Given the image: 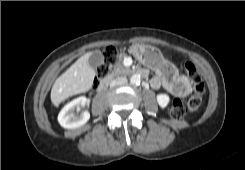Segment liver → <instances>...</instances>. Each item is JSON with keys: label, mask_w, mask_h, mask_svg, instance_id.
Here are the masks:
<instances>
[{"label": "liver", "mask_w": 245, "mask_h": 170, "mask_svg": "<svg viewBox=\"0 0 245 170\" xmlns=\"http://www.w3.org/2000/svg\"><path fill=\"white\" fill-rule=\"evenodd\" d=\"M91 52L81 56L61 76H59L51 90V101L58 107L65 99L92 88L95 70L88 64Z\"/></svg>", "instance_id": "obj_1"}]
</instances>
